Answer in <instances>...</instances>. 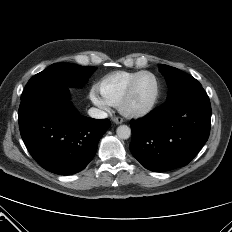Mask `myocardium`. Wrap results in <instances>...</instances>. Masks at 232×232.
Instances as JSON below:
<instances>
[{"label": "myocardium", "mask_w": 232, "mask_h": 232, "mask_svg": "<svg viewBox=\"0 0 232 232\" xmlns=\"http://www.w3.org/2000/svg\"><path fill=\"white\" fill-rule=\"evenodd\" d=\"M144 75H149L154 79L155 84H156L155 95H154L153 99L151 100V102L149 104H147L146 106L139 108V109H132L129 107V102L131 100L134 88H135L138 80ZM160 93H161V85H160V81H159L158 77L150 71H141L130 82L128 88L126 89L125 93L123 94V96L118 104V109H119L120 113L126 117L139 118V117L145 116L148 113H150L154 109V107L156 106V104L160 98Z\"/></svg>", "instance_id": "f54148a6"}]
</instances>
